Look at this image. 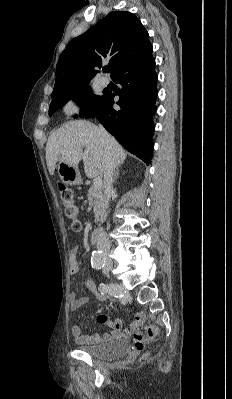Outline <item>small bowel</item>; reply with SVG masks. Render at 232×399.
I'll use <instances>...</instances> for the list:
<instances>
[{"label": "small bowel", "instance_id": "obj_1", "mask_svg": "<svg viewBox=\"0 0 232 399\" xmlns=\"http://www.w3.org/2000/svg\"><path fill=\"white\" fill-rule=\"evenodd\" d=\"M85 260V253L79 251L77 248L71 249L69 253V272L70 274H76L79 271V264ZM81 283L84 284L87 289L92 293L93 296L101 298L97 289L92 281L88 278L81 277ZM86 303V299H79L75 292H71L69 295V311L70 313L76 312ZM97 322L108 325L113 331L111 336L104 335L100 336L98 333L85 334L82 333V329L79 325L71 326V334L75 344L86 346V345H104L112 341V339H118L122 333H132L137 331L144 323L145 314L143 311H139L134 318V321L127 327H122L119 322L110 315H98L96 317Z\"/></svg>", "mask_w": 232, "mask_h": 399}]
</instances>
